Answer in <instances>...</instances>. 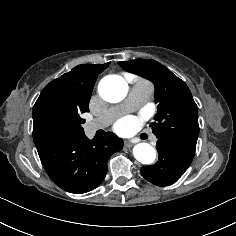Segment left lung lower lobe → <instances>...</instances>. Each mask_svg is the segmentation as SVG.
Segmentation results:
<instances>
[{
    "instance_id": "left-lung-lower-lobe-1",
    "label": "left lung lower lobe",
    "mask_w": 236,
    "mask_h": 236,
    "mask_svg": "<svg viewBox=\"0 0 236 236\" xmlns=\"http://www.w3.org/2000/svg\"><path fill=\"white\" fill-rule=\"evenodd\" d=\"M159 160L152 166L141 168L142 176L157 186H168L176 182L191 164L196 143L167 137L156 142Z\"/></svg>"
}]
</instances>
